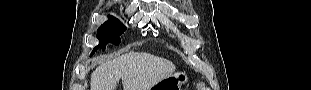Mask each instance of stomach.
<instances>
[{"label": "stomach", "instance_id": "1", "mask_svg": "<svg viewBox=\"0 0 311 90\" xmlns=\"http://www.w3.org/2000/svg\"><path fill=\"white\" fill-rule=\"evenodd\" d=\"M189 81L188 74L182 71H176L169 77L155 84L150 90H181L182 85Z\"/></svg>", "mask_w": 311, "mask_h": 90}]
</instances>
